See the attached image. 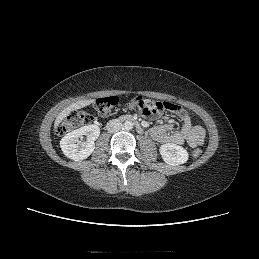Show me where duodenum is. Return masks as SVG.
I'll use <instances>...</instances> for the list:
<instances>
[{
    "mask_svg": "<svg viewBox=\"0 0 259 259\" xmlns=\"http://www.w3.org/2000/svg\"><path fill=\"white\" fill-rule=\"evenodd\" d=\"M121 121H127V122H132L136 125L137 130L138 131H142V127L140 126V124L138 123V121L136 120V118L132 115H123L120 117Z\"/></svg>",
    "mask_w": 259,
    "mask_h": 259,
    "instance_id": "duodenum-1",
    "label": "duodenum"
}]
</instances>
